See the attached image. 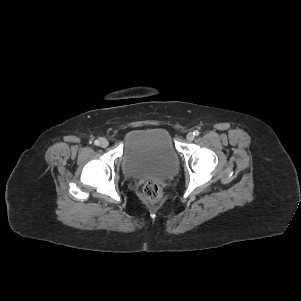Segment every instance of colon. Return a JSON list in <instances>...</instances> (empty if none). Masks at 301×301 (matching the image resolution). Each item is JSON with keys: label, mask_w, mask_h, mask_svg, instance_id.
Segmentation results:
<instances>
[{"label": "colon", "mask_w": 301, "mask_h": 301, "mask_svg": "<svg viewBox=\"0 0 301 301\" xmlns=\"http://www.w3.org/2000/svg\"><path fill=\"white\" fill-rule=\"evenodd\" d=\"M144 196L152 203H161L164 199L162 187L155 181H147L143 185Z\"/></svg>", "instance_id": "colon-1"}]
</instances>
